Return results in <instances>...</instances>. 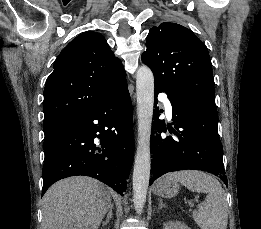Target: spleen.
Returning <instances> with one entry per match:
<instances>
[{
  "label": "spleen",
  "instance_id": "obj_1",
  "mask_svg": "<svg viewBox=\"0 0 261 229\" xmlns=\"http://www.w3.org/2000/svg\"><path fill=\"white\" fill-rule=\"evenodd\" d=\"M166 179L181 183L193 193H207L204 203L193 213L200 229H227L228 203L219 181L202 171H176L167 173Z\"/></svg>",
  "mask_w": 261,
  "mask_h": 229
}]
</instances>
